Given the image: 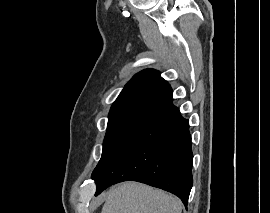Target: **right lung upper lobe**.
<instances>
[{
  "label": "right lung upper lobe",
  "instance_id": "obj_1",
  "mask_svg": "<svg viewBox=\"0 0 270 213\" xmlns=\"http://www.w3.org/2000/svg\"><path fill=\"white\" fill-rule=\"evenodd\" d=\"M172 99V89L160 73L146 69L137 73L122 90L111 107L116 110L130 105L158 106Z\"/></svg>",
  "mask_w": 270,
  "mask_h": 213
}]
</instances>
